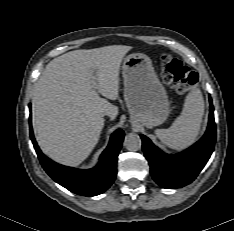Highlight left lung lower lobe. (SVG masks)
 Returning a JSON list of instances; mask_svg holds the SVG:
<instances>
[{
    "label": "left lung lower lobe",
    "instance_id": "left-lung-lower-lobe-1",
    "mask_svg": "<svg viewBox=\"0 0 234 231\" xmlns=\"http://www.w3.org/2000/svg\"><path fill=\"white\" fill-rule=\"evenodd\" d=\"M210 99V115L205 135L187 150L167 155L157 148L149 138H142V149L150 165L155 182L163 188H179L190 184L209 160L215 146L216 126Z\"/></svg>",
    "mask_w": 234,
    "mask_h": 231
}]
</instances>
